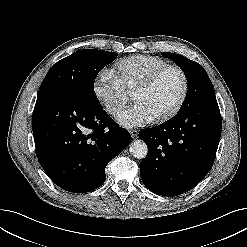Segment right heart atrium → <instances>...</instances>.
<instances>
[{
	"mask_svg": "<svg viewBox=\"0 0 247 247\" xmlns=\"http://www.w3.org/2000/svg\"><path fill=\"white\" fill-rule=\"evenodd\" d=\"M93 93L105 111L116 114L127 103V94L115 74L102 69L93 83Z\"/></svg>",
	"mask_w": 247,
	"mask_h": 247,
	"instance_id": "obj_1",
	"label": "right heart atrium"
}]
</instances>
